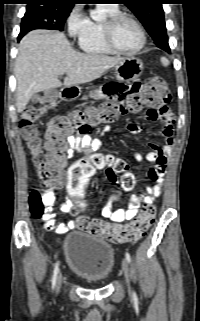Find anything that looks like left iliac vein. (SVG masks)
Here are the masks:
<instances>
[{
    "label": "left iliac vein",
    "mask_w": 200,
    "mask_h": 321,
    "mask_svg": "<svg viewBox=\"0 0 200 321\" xmlns=\"http://www.w3.org/2000/svg\"><path fill=\"white\" fill-rule=\"evenodd\" d=\"M122 270H123L124 276H125V278H126V281H127V283H128L129 292H131V289H130V286H129V281H130V267H129L128 261H127L126 259H123V261H122Z\"/></svg>",
    "instance_id": "4c4485c4"
}]
</instances>
